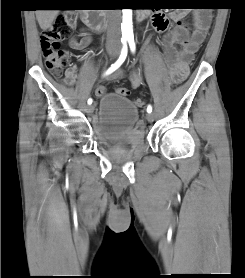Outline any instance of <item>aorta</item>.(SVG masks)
<instances>
[{"label":"aorta","instance_id":"aorta-1","mask_svg":"<svg viewBox=\"0 0 245 278\" xmlns=\"http://www.w3.org/2000/svg\"><path fill=\"white\" fill-rule=\"evenodd\" d=\"M123 19L121 30L123 37H131L133 35L132 26V9H123Z\"/></svg>","mask_w":245,"mask_h":278}]
</instances>
